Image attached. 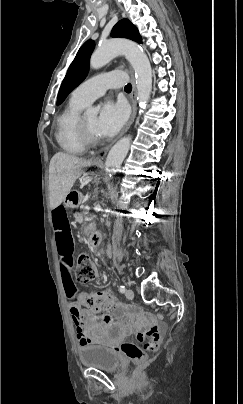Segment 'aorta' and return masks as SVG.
Segmentation results:
<instances>
[{"label":"aorta","instance_id":"1","mask_svg":"<svg viewBox=\"0 0 243 404\" xmlns=\"http://www.w3.org/2000/svg\"><path fill=\"white\" fill-rule=\"evenodd\" d=\"M116 56H125L126 60L131 64L136 78V98L140 108H146L152 90V70L141 46H138L135 42H130V40H106L93 52L90 58V66L94 70H99V68L109 64ZM84 116H87L88 120H94L98 116V108H87ZM131 140V136H125L111 148L106 158L108 172L120 168L130 150ZM106 176L108 177L109 175L107 174ZM107 179L109 180L110 178L108 177Z\"/></svg>","mask_w":243,"mask_h":404}]
</instances>
